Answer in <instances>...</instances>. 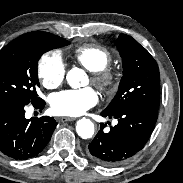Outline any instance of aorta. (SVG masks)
<instances>
[{
    "label": "aorta",
    "mask_w": 183,
    "mask_h": 183,
    "mask_svg": "<svg viewBox=\"0 0 183 183\" xmlns=\"http://www.w3.org/2000/svg\"><path fill=\"white\" fill-rule=\"evenodd\" d=\"M86 74L82 69L72 68L66 75L67 83L72 88L85 85ZM94 124L90 119L82 118L76 123V132L82 139H89L94 135Z\"/></svg>",
    "instance_id": "obj_1"
}]
</instances>
